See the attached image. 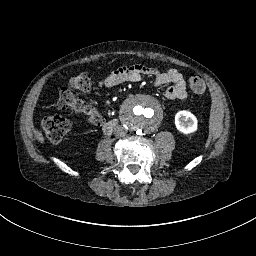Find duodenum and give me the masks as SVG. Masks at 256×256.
Returning a JSON list of instances; mask_svg holds the SVG:
<instances>
[{
	"instance_id": "410a0bca",
	"label": "duodenum",
	"mask_w": 256,
	"mask_h": 256,
	"mask_svg": "<svg viewBox=\"0 0 256 256\" xmlns=\"http://www.w3.org/2000/svg\"><path fill=\"white\" fill-rule=\"evenodd\" d=\"M119 125L118 119H110L103 124V132L107 135L111 134L112 131Z\"/></svg>"
}]
</instances>
